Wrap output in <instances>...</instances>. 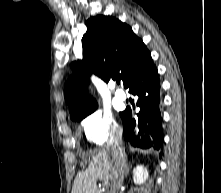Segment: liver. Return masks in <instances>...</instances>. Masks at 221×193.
Listing matches in <instances>:
<instances>
[{
    "mask_svg": "<svg viewBox=\"0 0 221 193\" xmlns=\"http://www.w3.org/2000/svg\"><path fill=\"white\" fill-rule=\"evenodd\" d=\"M126 160L125 150L122 149ZM115 154L109 148L96 150L85 171L78 172L74 179L71 193H97V179L101 178L107 185L113 177Z\"/></svg>",
    "mask_w": 221,
    "mask_h": 193,
    "instance_id": "obj_1",
    "label": "liver"
}]
</instances>
